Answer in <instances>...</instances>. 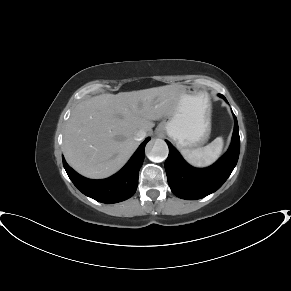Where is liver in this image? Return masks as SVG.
<instances>
[{"label":"liver","mask_w":291,"mask_h":291,"mask_svg":"<svg viewBox=\"0 0 291 291\" xmlns=\"http://www.w3.org/2000/svg\"><path fill=\"white\" fill-rule=\"evenodd\" d=\"M180 85L102 94L80 102L67 121L63 152L81 175L102 179L120 170L137 149V131L171 112Z\"/></svg>","instance_id":"liver-1"}]
</instances>
